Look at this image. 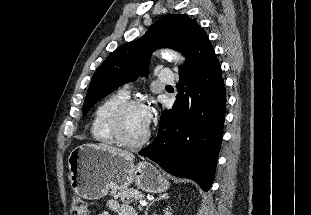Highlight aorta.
<instances>
[{"label":"aorta","instance_id":"obj_1","mask_svg":"<svg viewBox=\"0 0 311 215\" xmlns=\"http://www.w3.org/2000/svg\"><path fill=\"white\" fill-rule=\"evenodd\" d=\"M162 55L165 56L166 58L170 59V60H174L177 62H183L184 58L181 56L180 53L171 50V49H165L161 51Z\"/></svg>","mask_w":311,"mask_h":215}]
</instances>
